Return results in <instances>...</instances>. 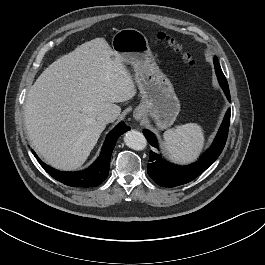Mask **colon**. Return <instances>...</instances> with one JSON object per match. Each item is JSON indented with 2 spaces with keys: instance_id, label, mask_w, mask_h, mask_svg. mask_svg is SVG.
Instances as JSON below:
<instances>
[{
  "instance_id": "obj_1",
  "label": "colon",
  "mask_w": 265,
  "mask_h": 265,
  "mask_svg": "<svg viewBox=\"0 0 265 265\" xmlns=\"http://www.w3.org/2000/svg\"><path fill=\"white\" fill-rule=\"evenodd\" d=\"M158 38L173 47L175 51L181 53L183 60L188 65L195 66L199 62L200 55L194 50L185 48L174 37L165 33H161L159 34Z\"/></svg>"
}]
</instances>
